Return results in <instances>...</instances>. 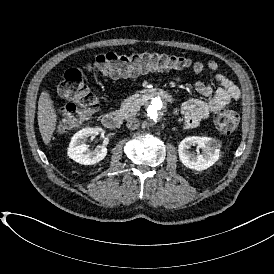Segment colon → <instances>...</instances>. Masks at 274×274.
<instances>
[{
    "label": "colon",
    "instance_id": "5ec220e1",
    "mask_svg": "<svg viewBox=\"0 0 274 274\" xmlns=\"http://www.w3.org/2000/svg\"><path fill=\"white\" fill-rule=\"evenodd\" d=\"M190 66V60L184 56L170 55L156 51H132L127 53L106 52L89 60L85 68L97 70L112 77H127L147 71L182 70ZM61 98L67 104L58 108V123L64 129L79 126L87 115L98 108L97 99L89 89L82 72L76 67L66 69L63 79L58 84ZM239 117L235 111L221 110L216 113L215 125L223 134L232 133L239 125Z\"/></svg>",
    "mask_w": 274,
    "mask_h": 274
}]
</instances>
